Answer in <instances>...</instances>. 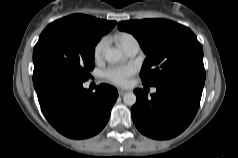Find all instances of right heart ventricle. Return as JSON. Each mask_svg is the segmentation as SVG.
I'll list each match as a JSON object with an SVG mask.
<instances>
[{
  "label": "right heart ventricle",
  "instance_id": "right-heart-ventricle-1",
  "mask_svg": "<svg viewBox=\"0 0 238 158\" xmlns=\"http://www.w3.org/2000/svg\"><path fill=\"white\" fill-rule=\"evenodd\" d=\"M133 39L135 38L128 33H122L117 36V40L123 48Z\"/></svg>",
  "mask_w": 238,
  "mask_h": 158
}]
</instances>
